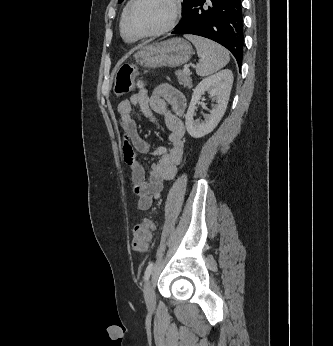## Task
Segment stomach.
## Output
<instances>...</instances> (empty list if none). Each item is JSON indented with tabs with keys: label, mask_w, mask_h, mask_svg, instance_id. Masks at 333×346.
<instances>
[{
	"label": "stomach",
	"mask_w": 333,
	"mask_h": 346,
	"mask_svg": "<svg viewBox=\"0 0 333 346\" xmlns=\"http://www.w3.org/2000/svg\"><path fill=\"white\" fill-rule=\"evenodd\" d=\"M192 54L193 48L188 41L173 38L142 47L135 54V59L145 68L178 67L187 63Z\"/></svg>",
	"instance_id": "obj_1"
}]
</instances>
